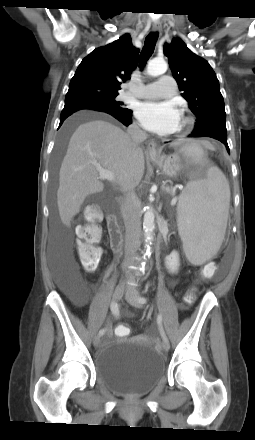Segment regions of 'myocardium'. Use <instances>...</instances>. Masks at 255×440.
Segmentation results:
<instances>
[{
    "label": "myocardium",
    "mask_w": 255,
    "mask_h": 440,
    "mask_svg": "<svg viewBox=\"0 0 255 440\" xmlns=\"http://www.w3.org/2000/svg\"><path fill=\"white\" fill-rule=\"evenodd\" d=\"M181 121H182L181 126L177 130L178 135L186 134L193 125L192 119L184 114H182Z\"/></svg>",
    "instance_id": "1"
}]
</instances>
